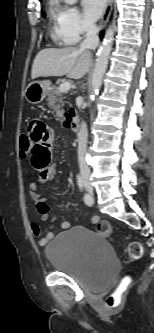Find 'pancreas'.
Instances as JSON below:
<instances>
[{
	"instance_id": "cf45deb5",
	"label": "pancreas",
	"mask_w": 154,
	"mask_h": 333,
	"mask_svg": "<svg viewBox=\"0 0 154 333\" xmlns=\"http://www.w3.org/2000/svg\"><path fill=\"white\" fill-rule=\"evenodd\" d=\"M48 105L51 109L56 111V117L59 118L61 116V107L64 105L62 92H60L57 88H53L48 91Z\"/></svg>"
}]
</instances>
